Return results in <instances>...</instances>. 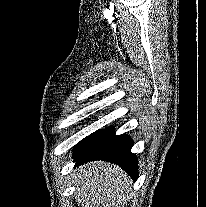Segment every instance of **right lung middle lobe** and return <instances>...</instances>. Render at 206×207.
<instances>
[{"instance_id": "right-lung-middle-lobe-1", "label": "right lung middle lobe", "mask_w": 206, "mask_h": 207, "mask_svg": "<svg viewBox=\"0 0 206 207\" xmlns=\"http://www.w3.org/2000/svg\"><path fill=\"white\" fill-rule=\"evenodd\" d=\"M101 131H102V130L97 131V132H95V133H93V134L87 136L86 138H84L82 141H80V142L76 145V149H75V150L81 148L83 145H85L87 142H89L91 139H93L96 135H98Z\"/></svg>"}]
</instances>
